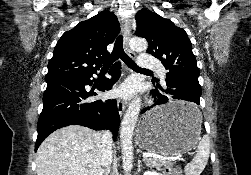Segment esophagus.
<instances>
[{
  "mask_svg": "<svg viewBox=\"0 0 251 175\" xmlns=\"http://www.w3.org/2000/svg\"><path fill=\"white\" fill-rule=\"evenodd\" d=\"M122 33L124 36V49L126 51V53L130 56V57H136V53L131 50L130 46H129V40L131 38V32H130V26L128 21H123L122 22ZM117 107H118V111L120 116H122L125 108H126V103L124 102V100H122L121 98L117 99Z\"/></svg>",
  "mask_w": 251,
  "mask_h": 175,
  "instance_id": "34e87169",
  "label": "esophagus"
}]
</instances>
